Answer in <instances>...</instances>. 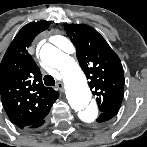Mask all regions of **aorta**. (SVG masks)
<instances>
[{
	"label": "aorta",
	"mask_w": 147,
	"mask_h": 147,
	"mask_svg": "<svg viewBox=\"0 0 147 147\" xmlns=\"http://www.w3.org/2000/svg\"><path fill=\"white\" fill-rule=\"evenodd\" d=\"M64 42L73 49L67 39ZM40 57L45 64L60 72L70 106L80 114L83 120H93L97 115V107L91 99L86 76L75 59L51 44H45L42 47Z\"/></svg>",
	"instance_id": "aorta-1"
}]
</instances>
